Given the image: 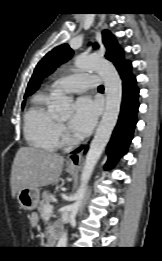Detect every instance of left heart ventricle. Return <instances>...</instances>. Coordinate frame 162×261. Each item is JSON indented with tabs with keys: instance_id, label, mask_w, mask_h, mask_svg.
Here are the masks:
<instances>
[{
	"instance_id": "1",
	"label": "left heart ventricle",
	"mask_w": 162,
	"mask_h": 261,
	"mask_svg": "<svg viewBox=\"0 0 162 261\" xmlns=\"http://www.w3.org/2000/svg\"><path fill=\"white\" fill-rule=\"evenodd\" d=\"M60 119L66 121L68 119V116H61Z\"/></svg>"
}]
</instances>
